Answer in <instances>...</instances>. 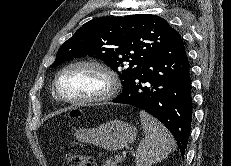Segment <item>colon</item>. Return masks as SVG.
<instances>
[{
    "label": "colon",
    "mask_w": 231,
    "mask_h": 166,
    "mask_svg": "<svg viewBox=\"0 0 231 166\" xmlns=\"http://www.w3.org/2000/svg\"><path fill=\"white\" fill-rule=\"evenodd\" d=\"M72 115H78V112H72ZM68 166H95L94 161L86 156L77 154H68L66 157Z\"/></svg>",
    "instance_id": "colon-1"
}]
</instances>
